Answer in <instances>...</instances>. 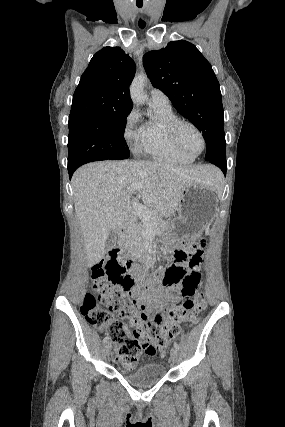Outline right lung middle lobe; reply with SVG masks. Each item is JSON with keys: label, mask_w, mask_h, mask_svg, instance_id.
I'll use <instances>...</instances> for the list:
<instances>
[{"label": "right lung middle lobe", "mask_w": 285, "mask_h": 427, "mask_svg": "<svg viewBox=\"0 0 285 427\" xmlns=\"http://www.w3.org/2000/svg\"><path fill=\"white\" fill-rule=\"evenodd\" d=\"M128 113H114L68 122V169L99 160L129 157L123 136Z\"/></svg>", "instance_id": "dd1d6c3e"}]
</instances>
